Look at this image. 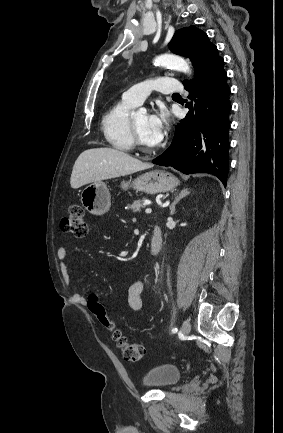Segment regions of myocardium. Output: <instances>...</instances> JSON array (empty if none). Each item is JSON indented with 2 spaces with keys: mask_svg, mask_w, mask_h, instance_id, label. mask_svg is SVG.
<instances>
[{
  "mask_svg": "<svg viewBox=\"0 0 283 433\" xmlns=\"http://www.w3.org/2000/svg\"><path fill=\"white\" fill-rule=\"evenodd\" d=\"M131 130H132V135H133L134 143L136 144V148L139 151H143L144 150L143 149V142H142V140H141V138L139 136V133L137 131L135 121H132V123H131Z\"/></svg>",
  "mask_w": 283,
  "mask_h": 433,
  "instance_id": "1",
  "label": "myocardium"
}]
</instances>
